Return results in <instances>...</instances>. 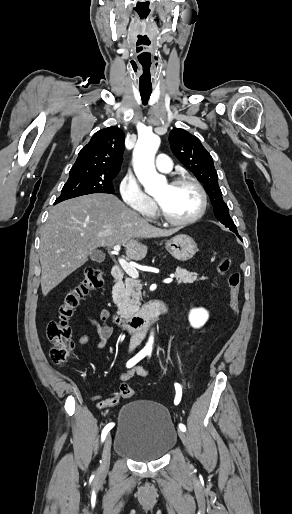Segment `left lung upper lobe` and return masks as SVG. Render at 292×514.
Returning a JSON list of instances; mask_svg holds the SVG:
<instances>
[{
  "instance_id": "left-lung-upper-lobe-1",
  "label": "left lung upper lobe",
  "mask_w": 292,
  "mask_h": 514,
  "mask_svg": "<svg viewBox=\"0 0 292 514\" xmlns=\"http://www.w3.org/2000/svg\"><path fill=\"white\" fill-rule=\"evenodd\" d=\"M169 142L177 159L203 184L212 202L215 217L232 232L237 233V228L229 215L228 206L223 201L218 185V175L210 153L197 137L184 129H173L169 134Z\"/></svg>"
}]
</instances>
